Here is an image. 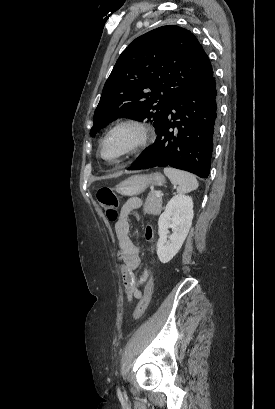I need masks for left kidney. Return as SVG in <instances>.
Here are the masks:
<instances>
[{"label":"left kidney","instance_id":"1","mask_svg":"<svg viewBox=\"0 0 275 409\" xmlns=\"http://www.w3.org/2000/svg\"><path fill=\"white\" fill-rule=\"evenodd\" d=\"M193 213L191 196L175 194L169 200L158 221L157 255L161 263H169L181 249L192 225ZM168 229H173L170 237H168Z\"/></svg>","mask_w":275,"mask_h":409}]
</instances>
